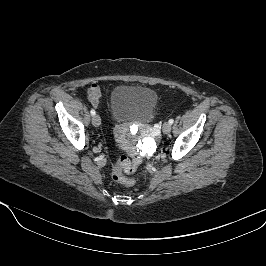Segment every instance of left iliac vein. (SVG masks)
Instances as JSON below:
<instances>
[{"mask_svg": "<svg viewBox=\"0 0 266 266\" xmlns=\"http://www.w3.org/2000/svg\"><path fill=\"white\" fill-rule=\"evenodd\" d=\"M162 131L164 134H168L171 131V124L169 122H165L162 126Z\"/></svg>", "mask_w": 266, "mask_h": 266, "instance_id": "4c4485c4", "label": "left iliac vein"}]
</instances>
